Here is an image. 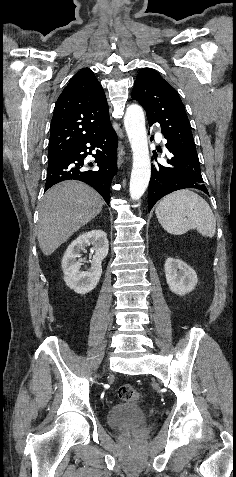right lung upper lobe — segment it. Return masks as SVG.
I'll return each instance as SVG.
<instances>
[{
    "label": "right lung upper lobe",
    "instance_id": "obj_1",
    "mask_svg": "<svg viewBox=\"0 0 236 477\" xmlns=\"http://www.w3.org/2000/svg\"><path fill=\"white\" fill-rule=\"evenodd\" d=\"M110 123L102 86L89 68L75 74L60 94L50 126L48 156L64 157Z\"/></svg>",
    "mask_w": 236,
    "mask_h": 477
}]
</instances>
